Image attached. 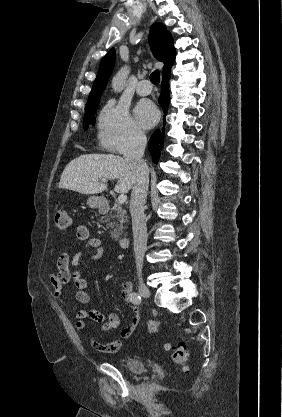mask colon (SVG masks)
<instances>
[{
	"instance_id": "1",
	"label": "colon",
	"mask_w": 282,
	"mask_h": 417,
	"mask_svg": "<svg viewBox=\"0 0 282 417\" xmlns=\"http://www.w3.org/2000/svg\"><path fill=\"white\" fill-rule=\"evenodd\" d=\"M72 225V219L70 213L66 209H59L54 213L53 226L58 231H64ZM160 328V322L158 320H150L148 322V333L150 336L157 334ZM164 349L170 354L172 362L179 365L183 371H187V358L188 352L185 348V344L178 342L175 344L166 343Z\"/></svg>"
}]
</instances>
